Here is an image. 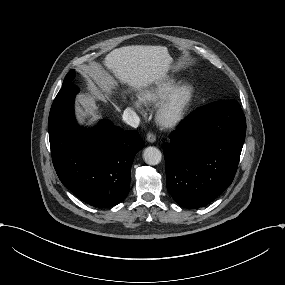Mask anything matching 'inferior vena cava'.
Listing matches in <instances>:
<instances>
[{"mask_svg":"<svg viewBox=\"0 0 285 285\" xmlns=\"http://www.w3.org/2000/svg\"><path fill=\"white\" fill-rule=\"evenodd\" d=\"M123 121L128 125L136 128L139 126L140 118L131 108H126L122 115Z\"/></svg>","mask_w":285,"mask_h":285,"instance_id":"1","label":"inferior vena cava"}]
</instances>
